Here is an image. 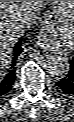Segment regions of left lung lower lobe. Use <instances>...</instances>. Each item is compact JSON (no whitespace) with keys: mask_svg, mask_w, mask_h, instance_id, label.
<instances>
[{"mask_svg":"<svg viewBox=\"0 0 74 122\" xmlns=\"http://www.w3.org/2000/svg\"><path fill=\"white\" fill-rule=\"evenodd\" d=\"M71 70L67 76L56 83L59 92L74 95V57L71 61Z\"/></svg>","mask_w":74,"mask_h":122,"instance_id":"obj_1","label":"left lung lower lobe"}]
</instances>
